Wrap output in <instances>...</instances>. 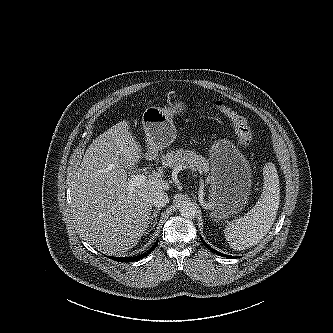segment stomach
<instances>
[{
    "instance_id": "obj_1",
    "label": "stomach",
    "mask_w": 333,
    "mask_h": 333,
    "mask_svg": "<svg viewBox=\"0 0 333 333\" xmlns=\"http://www.w3.org/2000/svg\"><path fill=\"white\" fill-rule=\"evenodd\" d=\"M186 104L176 100L168 108L149 107L142 116L149 154L171 145L176 138L174 114L186 112ZM211 162L209 209L215 221L253 206L262 194L259 169L240 153L228 139L215 141L209 150Z\"/></svg>"
}]
</instances>
